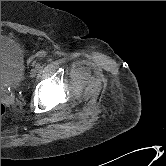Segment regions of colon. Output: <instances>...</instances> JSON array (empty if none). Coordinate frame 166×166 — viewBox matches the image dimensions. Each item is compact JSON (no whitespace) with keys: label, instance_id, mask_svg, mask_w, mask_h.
<instances>
[{"label":"colon","instance_id":"5ec220e1","mask_svg":"<svg viewBox=\"0 0 166 166\" xmlns=\"http://www.w3.org/2000/svg\"><path fill=\"white\" fill-rule=\"evenodd\" d=\"M41 54H42L41 52L38 53V55H41ZM5 112H6V108H5L4 104L1 103V117H3Z\"/></svg>","mask_w":166,"mask_h":166}]
</instances>
